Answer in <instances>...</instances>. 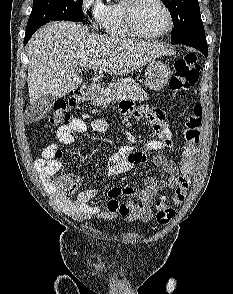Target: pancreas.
Segmentation results:
<instances>
[{
	"label": "pancreas",
	"instance_id": "obj_1",
	"mask_svg": "<svg viewBox=\"0 0 233 294\" xmlns=\"http://www.w3.org/2000/svg\"><path fill=\"white\" fill-rule=\"evenodd\" d=\"M148 95L139 84L133 81L112 82L101 91V95L94 99L96 104H107L120 99L134 101L147 99Z\"/></svg>",
	"mask_w": 233,
	"mask_h": 294
}]
</instances>
